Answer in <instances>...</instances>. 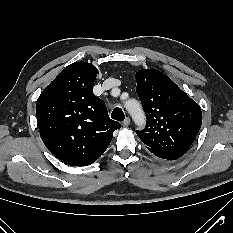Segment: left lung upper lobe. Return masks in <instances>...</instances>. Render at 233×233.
Wrapping results in <instances>:
<instances>
[{
	"label": "left lung upper lobe",
	"mask_w": 233,
	"mask_h": 233,
	"mask_svg": "<svg viewBox=\"0 0 233 233\" xmlns=\"http://www.w3.org/2000/svg\"><path fill=\"white\" fill-rule=\"evenodd\" d=\"M135 77L147 117L145 128L136 131L137 135L148 148L183 156L202 124L199 105L159 70L143 69Z\"/></svg>",
	"instance_id": "obj_1"
}]
</instances>
